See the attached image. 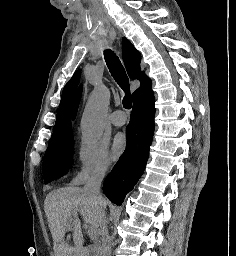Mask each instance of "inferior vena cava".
I'll list each match as a JSON object with an SVG mask.
<instances>
[{"mask_svg":"<svg viewBox=\"0 0 236 256\" xmlns=\"http://www.w3.org/2000/svg\"><path fill=\"white\" fill-rule=\"evenodd\" d=\"M105 172V166H95V168H92L83 188V192H85L89 198L95 200L99 208V212H104L105 206V200L100 194V186L105 176ZM100 236L102 240L101 256H111L110 236L108 234L105 218L103 220V224L100 226Z\"/></svg>","mask_w":236,"mask_h":256,"instance_id":"1","label":"inferior vena cava"}]
</instances>
